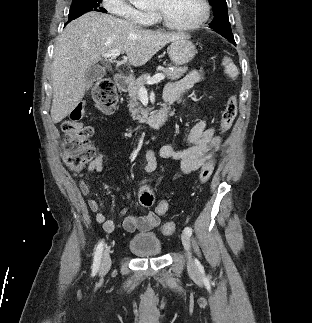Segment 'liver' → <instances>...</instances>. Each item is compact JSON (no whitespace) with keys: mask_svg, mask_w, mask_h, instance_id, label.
<instances>
[{"mask_svg":"<svg viewBox=\"0 0 312 323\" xmlns=\"http://www.w3.org/2000/svg\"><path fill=\"white\" fill-rule=\"evenodd\" d=\"M179 38L181 34L149 32L100 12H88L73 20L56 38L51 70L52 122L58 124L78 106L86 92L85 72L103 54L119 50L126 54L129 66H144L161 48Z\"/></svg>","mask_w":312,"mask_h":323,"instance_id":"1","label":"liver"}]
</instances>
